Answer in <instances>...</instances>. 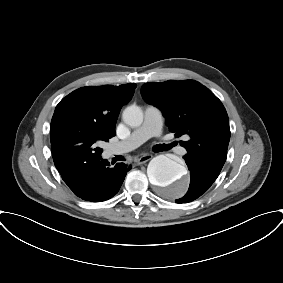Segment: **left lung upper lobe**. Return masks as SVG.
Returning a JSON list of instances; mask_svg holds the SVG:
<instances>
[{"label": "left lung upper lobe", "mask_w": 283, "mask_h": 283, "mask_svg": "<svg viewBox=\"0 0 283 283\" xmlns=\"http://www.w3.org/2000/svg\"><path fill=\"white\" fill-rule=\"evenodd\" d=\"M141 93L162 111L176 137L187 136V141H180L187 150L184 157L220 173L230 140L228 115L221 101L194 80L145 83Z\"/></svg>", "instance_id": "left-lung-upper-lobe-1"}]
</instances>
